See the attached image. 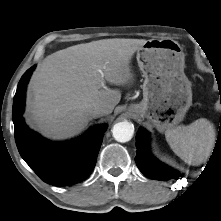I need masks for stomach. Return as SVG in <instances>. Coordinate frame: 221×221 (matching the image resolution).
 <instances>
[{
  "mask_svg": "<svg viewBox=\"0 0 221 221\" xmlns=\"http://www.w3.org/2000/svg\"><path fill=\"white\" fill-rule=\"evenodd\" d=\"M137 62L145 78L143 100L130 105L129 114L148 120L160 132L174 128L192 105L183 48L173 39H151L138 49Z\"/></svg>",
  "mask_w": 221,
  "mask_h": 221,
  "instance_id": "stomach-1",
  "label": "stomach"
}]
</instances>
